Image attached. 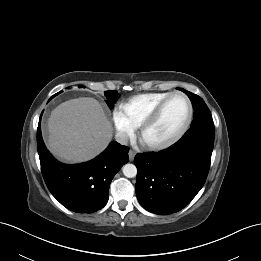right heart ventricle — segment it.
Masks as SVG:
<instances>
[{
  "instance_id": "1",
  "label": "right heart ventricle",
  "mask_w": 261,
  "mask_h": 261,
  "mask_svg": "<svg viewBox=\"0 0 261 261\" xmlns=\"http://www.w3.org/2000/svg\"><path fill=\"white\" fill-rule=\"evenodd\" d=\"M169 92H152L133 96L121 103L120 109L133 128H138L153 108Z\"/></svg>"
}]
</instances>
